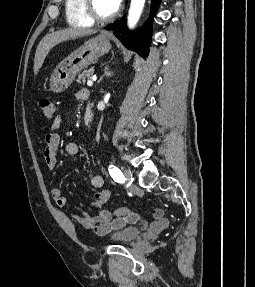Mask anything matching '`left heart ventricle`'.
<instances>
[{
  "label": "left heart ventricle",
  "mask_w": 255,
  "mask_h": 287,
  "mask_svg": "<svg viewBox=\"0 0 255 287\" xmlns=\"http://www.w3.org/2000/svg\"><path fill=\"white\" fill-rule=\"evenodd\" d=\"M98 33H122V32H98ZM102 39V38H97ZM111 39H125V38H111ZM94 48H104V47H94ZM112 48H131V47H112Z\"/></svg>",
  "instance_id": "left-heart-ventricle-1"
}]
</instances>
